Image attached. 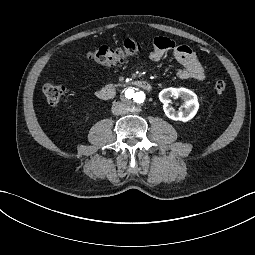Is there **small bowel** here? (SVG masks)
<instances>
[{
	"label": "small bowel",
	"mask_w": 255,
	"mask_h": 255,
	"mask_svg": "<svg viewBox=\"0 0 255 255\" xmlns=\"http://www.w3.org/2000/svg\"><path fill=\"white\" fill-rule=\"evenodd\" d=\"M153 44V50L150 53V59L153 62H159L168 53H171L173 58L182 66L177 72L180 79L203 80L205 78V70L190 47L177 45L167 37H157Z\"/></svg>",
	"instance_id": "obj_1"
}]
</instances>
